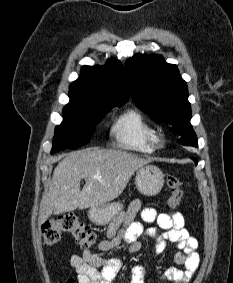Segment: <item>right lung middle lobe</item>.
Here are the masks:
<instances>
[{
  "label": "right lung middle lobe",
  "instance_id": "dd1d6c3e",
  "mask_svg": "<svg viewBox=\"0 0 233 283\" xmlns=\"http://www.w3.org/2000/svg\"><path fill=\"white\" fill-rule=\"evenodd\" d=\"M115 106L122 104L93 106L70 101L63 109V122L55 128L51 153L87 144L97 123Z\"/></svg>",
  "mask_w": 233,
  "mask_h": 283
}]
</instances>
